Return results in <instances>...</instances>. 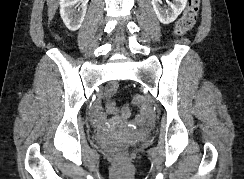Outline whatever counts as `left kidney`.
Here are the masks:
<instances>
[{
	"label": "left kidney",
	"mask_w": 244,
	"mask_h": 179,
	"mask_svg": "<svg viewBox=\"0 0 244 179\" xmlns=\"http://www.w3.org/2000/svg\"><path fill=\"white\" fill-rule=\"evenodd\" d=\"M160 2L161 0H152L154 12L161 24H171V22H174L179 14L183 12L187 4V0H173V4H170V8H168V10H163V8H160Z\"/></svg>",
	"instance_id": "1"
}]
</instances>
